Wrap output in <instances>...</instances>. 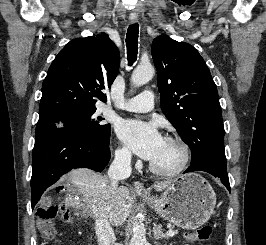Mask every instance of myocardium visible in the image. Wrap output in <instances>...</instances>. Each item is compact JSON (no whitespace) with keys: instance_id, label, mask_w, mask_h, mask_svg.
Masks as SVG:
<instances>
[{"instance_id":"f54148a6","label":"myocardium","mask_w":266,"mask_h":245,"mask_svg":"<svg viewBox=\"0 0 266 245\" xmlns=\"http://www.w3.org/2000/svg\"><path fill=\"white\" fill-rule=\"evenodd\" d=\"M168 141L177 143L182 151V160L178 168L172 171H162L157 169L152 163L149 164V170L152 174L159 176V177H165V178H172L176 177L180 174H182L188 167L190 160H191V151L188 146V144L177 136H167L165 138Z\"/></svg>"}]
</instances>
